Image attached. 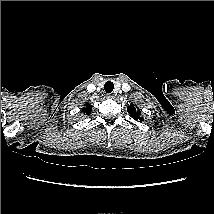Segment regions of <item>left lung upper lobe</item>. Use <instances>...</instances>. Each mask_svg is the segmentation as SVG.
I'll use <instances>...</instances> for the list:
<instances>
[{
  "mask_svg": "<svg viewBox=\"0 0 214 214\" xmlns=\"http://www.w3.org/2000/svg\"><path fill=\"white\" fill-rule=\"evenodd\" d=\"M128 112L130 114V116L134 119V120H139V121H142L143 120V117H140L141 115V111L138 110L137 107L133 106V105H130L128 106Z\"/></svg>",
  "mask_w": 214,
  "mask_h": 214,
  "instance_id": "5c2ea615",
  "label": "left lung upper lobe"
}]
</instances>
